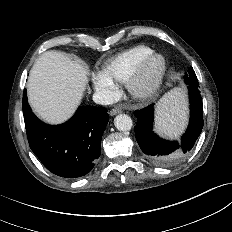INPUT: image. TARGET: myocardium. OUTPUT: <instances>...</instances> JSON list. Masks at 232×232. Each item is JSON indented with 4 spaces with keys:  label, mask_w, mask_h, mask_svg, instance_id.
I'll return each mask as SVG.
<instances>
[{
    "label": "myocardium",
    "mask_w": 232,
    "mask_h": 232,
    "mask_svg": "<svg viewBox=\"0 0 232 232\" xmlns=\"http://www.w3.org/2000/svg\"><path fill=\"white\" fill-rule=\"evenodd\" d=\"M154 62H157V69L153 75L148 76V70ZM166 69L167 60L162 53L152 52L147 55L138 63L126 81L128 92L139 100L152 97L161 87Z\"/></svg>",
    "instance_id": "obj_1"
}]
</instances>
